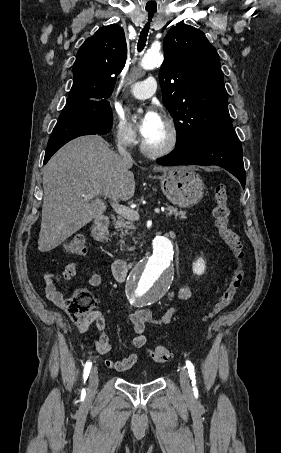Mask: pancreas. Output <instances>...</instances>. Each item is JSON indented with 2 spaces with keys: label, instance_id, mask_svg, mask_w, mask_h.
<instances>
[{
  "label": "pancreas",
  "instance_id": "pancreas-1",
  "mask_svg": "<svg viewBox=\"0 0 281 453\" xmlns=\"http://www.w3.org/2000/svg\"><path fill=\"white\" fill-rule=\"evenodd\" d=\"M168 212L166 214H174L175 218L179 216L180 218H186L185 210H178V208H174V206H167ZM115 229H118V231H121L120 237H126V235H130V237H133L134 231L136 229L135 224L133 220H125V218H117L115 222ZM130 231V233H129ZM120 243H124V241H120Z\"/></svg>",
  "mask_w": 281,
  "mask_h": 453
}]
</instances>
